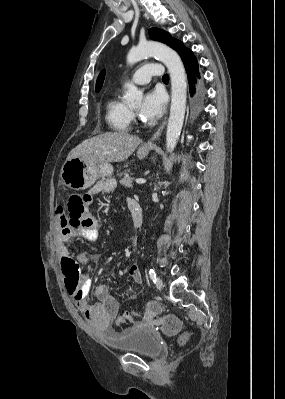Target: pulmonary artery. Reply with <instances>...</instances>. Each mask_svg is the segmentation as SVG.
I'll list each match as a JSON object with an SVG mask.
<instances>
[{"mask_svg":"<svg viewBox=\"0 0 285 399\" xmlns=\"http://www.w3.org/2000/svg\"><path fill=\"white\" fill-rule=\"evenodd\" d=\"M163 76V67L160 63H146L134 73L132 80L137 84H146L152 77Z\"/></svg>","mask_w":285,"mask_h":399,"instance_id":"obj_1","label":"pulmonary artery"}]
</instances>
